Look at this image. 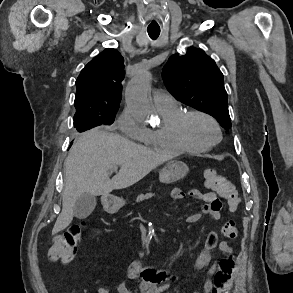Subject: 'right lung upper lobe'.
<instances>
[{"label":"right lung upper lobe","mask_w":293,"mask_h":293,"mask_svg":"<svg viewBox=\"0 0 293 293\" xmlns=\"http://www.w3.org/2000/svg\"><path fill=\"white\" fill-rule=\"evenodd\" d=\"M124 76L121 54L116 49H105L82 69L76 80V110L97 113L117 111Z\"/></svg>","instance_id":"right-lung-upper-lobe-1"}]
</instances>
